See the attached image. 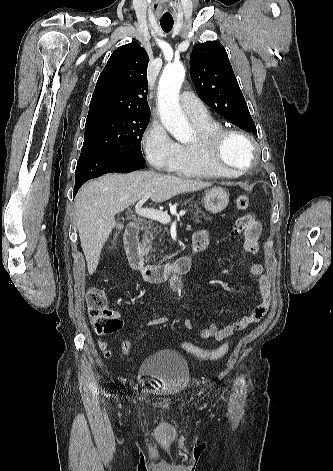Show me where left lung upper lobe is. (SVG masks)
Returning <instances> with one entry per match:
<instances>
[{
  "label": "left lung upper lobe",
  "instance_id": "obj_1",
  "mask_svg": "<svg viewBox=\"0 0 333 471\" xmlns=\"http://www.w3.org/2000/svg\"><path fill=\"white\" fill-rule=\"evenodd\" d=\"M190 76L198 96L209 107L241 129L257 133L221 43L207 41L194 46L190 58Z\"/></svg>",
  "mask_w": 333,
  "mask_h": 471
}]
</instances>
